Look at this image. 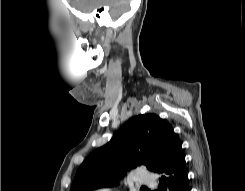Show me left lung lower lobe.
Listing matches in <instances>:
<instances>
[{"label":"left lung lower lobe","mask_w":245,"mask_h":191,"mask_svg":"<svg viewBox=\"0 0 245 191\" xmlns=\"http://www.w3.org/2000/svg\"><path fill=\"white\" fill-rule=\"evenodd\" d=\"M160 186L156 191H190L185 157L182 147L179 148L172 161L161 169Z\"/></svg>","instance_id":"0a47b994"}]
</instances>
